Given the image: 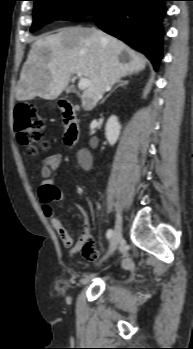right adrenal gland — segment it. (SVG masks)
I'll list each match as a JSON object with an SVG mask.
<instances>
[{"instance_id":"2a0ac1e0","label":"right adrenal gland","mask_w":193,"mask_h":349,"mask_svg":"<svg viewBox=\"0 0 193 349\" xmlns=\"http://www.w3.org/2000/svg\"><path fill=\"white\" fill-rule=\"evenodd\" d=\"M128 84V81L127 80H118L117 81V85L114 87V89L112 91H110L108 93V95L101 101V103H103L107 97H109V95L114 91L116 90L118 87H123V86H126Z\"/></svg>"}]
</instances>
